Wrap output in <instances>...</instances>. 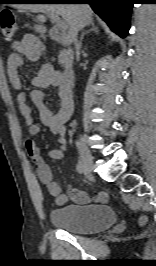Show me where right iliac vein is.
I'll return each instance as SVG.
<instances>
[{"label": "right iliac vein", "instance_id": "63e3f726", "mask_svg": "<svg viewBox=\"0 0 156 266\" xmlns=\"http://www.w3.org/2000/svg\"><path fill=\"white\" fill-rule=\"evenodd\" d=\"M80 157L84 166L85 173L89 178L93 176V160L90 151L87 149L84 139L81 138L79 142Z\"/></svg>", "mask_w": 156, "mask_h": 266}]
</instances>
